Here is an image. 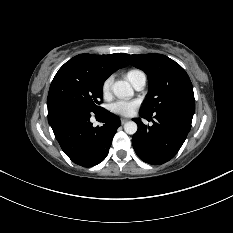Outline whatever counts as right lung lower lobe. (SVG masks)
Segmentation results:
<instances>
[{"label":"right lung lower lobe","mask_w":233,"mask_h":233,"mask_svg":"<svg viewBox=\"0 0 233 233\" xmlns=\"http://www.w3.org/2000/svg\"><path fill=\"white\" fill-rule=\"evenodd\" d=\"M91 114L67 105L48 108V122L62 150L74 163L83 167H92L106 158L121 124L116 115L103 109L95 113L103 116V126L93 127Z\"/></svg>","instance_id":"right-lung-lower-lobe-1"}]
</instances>
